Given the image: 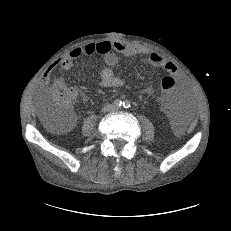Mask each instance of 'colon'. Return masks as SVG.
Returning a JSON list of instances; mask_svg holds the SVG:
<instances>
[{
    "label": "colon",
    "mask_w": 231,
    "mask_h": 231,
    "mask_svg": "<svg viewBox=\"0 0 231 231\" xmlns=\"http://www.w3.org/2000/svg\"><path fill=\"white\" fill-rule=\"evenodd\" d=\"M159 86L164 92H171L176 86L175 79L170 75L163 76ZM75 98V90L59 86L51 90L47 103L42 110V119L46 127L53 132H61L70 127L74 115L70 108Z\"/></svg>",
    "instance_id": "5ec220e1"
}]
</instances>
